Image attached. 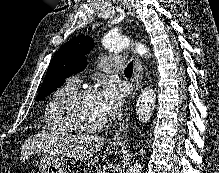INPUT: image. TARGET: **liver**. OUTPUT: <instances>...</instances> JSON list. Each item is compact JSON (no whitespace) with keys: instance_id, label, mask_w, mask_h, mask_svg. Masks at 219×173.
I'll return each instance as SVG.
<instances>
[{"instance_id":"6515ba94","label":"liver","mask_w":219,"mask_h":173,"mask_svg":"<svg viewBox=\"0 0 219 173\" xmlns=\"http://www.w3.org/2000/svg\"><path fill=\"white\" fill-rule=\"evenodd\" d=\"M105 139L98 136H66L65 138H54L50 134L37 133L28 138L22 146V160L25 161L35 153H56L66 155L74 159H90L88 167L98 162V157L92 156L104 144Z\"/></svg>"}]
</instances>
